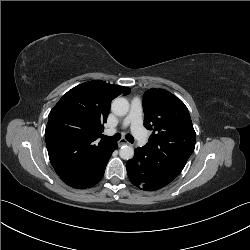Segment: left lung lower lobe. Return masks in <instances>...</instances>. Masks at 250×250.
Segmentation results:
<instances>
[{"label": "left lung lower lobe", "mask_w": 250, "mask_h": 250, "mask_svg": "<svg viewBox=\"0 0 250 250\" xmlns=\"http://www.w3.org/2000/svg\"><path fill=\"white\" fill-rule=\"evenodd\" d=\"M183 168L168 159L153 158L145 146L135 149L134 157L126 163L131 183L144 191H154L166 186Z\"/></svg>", "instance_id": "left-lung-lower-lobe-1"}]
</instances>
